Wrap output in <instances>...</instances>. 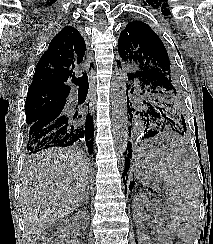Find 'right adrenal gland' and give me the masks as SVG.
I'll return each mask as SVG.
<instances>
[{"label": "right adrenal gland", "instance_id": "2a0ac1e0", "mask_svg": "<svg viewBox=\"0 0 213 244\" xmlns=\"http://www.w3.org/2000/svg\"><path fill=\"white\" fill-rule=\"evenodd\" d=\"M89 188L86 189V193H85V199L84 201H86L87 203L89 202Z\"/></svg>", "mask_w": 213, "mask_h": 244}]
</instances>
